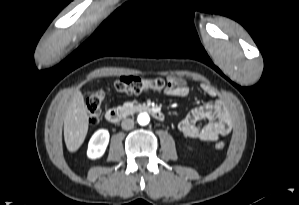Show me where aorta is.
<instances>
[{
    "mask_svg": "<svg viewBox=\"0 0 299 205\" xmlns=\"http://www.w3.org/2000/svg\"><path fill=\"white\" fill-rule=\"evenodd\" d=\"M150 121V117L147 113H140L137 117V122L144 126V125H147Z\"/></svg>",
    "mask_w": 299,
    "mask_h": 205,
    "instance_id": "aorta-1",
    "label": "aorta"
}]
</instances>
